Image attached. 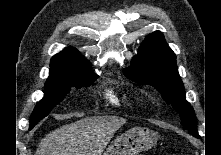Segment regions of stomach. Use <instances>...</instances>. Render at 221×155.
I'll return each instance as SVG.
<instances>
[{"label": "stomach", "instance_id": "0dacf381", "mask_svg": "<svg viewBox=\"0 0 221 155\" xmlns=\"http://www.w3.org/2000/svg\"><path fill=\"white\" fill-rule=\"evenodd\" d=\"M157 134L145 127H134L116 138L103 155H139L154 147Z\"/></svg>", "mask_w": 221, "mask_h": 155}]
</instances>
